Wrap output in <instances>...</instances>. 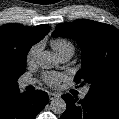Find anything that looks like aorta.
<instances>
[{
    "label": "aorta",
    "instance_id": "obj_1",
    "mask_svg": "<svg viewBox=\"0 0 119 119\" xmlns=\"http://www.w3.org/2000/svg\"><path fill=\"white\" fill-rule=\"evenodd\" d=\"M37 62L40 65V67L43 69H51L59 64V60L57 56L49 51L42 52L39 55ZM50 108L53 113L60 115L66 111L67 105L62 98H54L51 101Z\"/></svg>",
    "mask_w": 119,
    "mask_h": 119
}]
</instances>
